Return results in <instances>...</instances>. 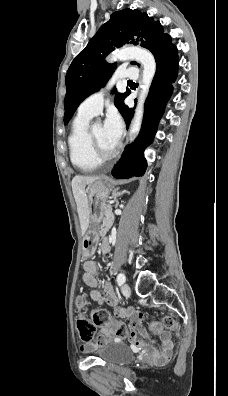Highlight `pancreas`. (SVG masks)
<instances>
[{
  "label": "pancreas",
  "instance_id": "obj_1",
  "mask_svg": "<svg viewBox=\"0 0 228 396\" xmlns=\"http://www.w3.org/2000/svg\"><path fill=\"white\" fill-rule=\"evenodd\" d=\"M108 206H109V208L107 209V212L108 213L113 212V209H111V206L110 205H108ZM113 219H114L113 215H107L106 219L104 220L103 225L100 226L99 232H100V234L102 236V238H101L102 240L104 239L103 238L105 236L104 234H106L108 232V230L110 229V226H111V223H112Z\"/></svg>",
  "mask_w": 228,
  "mask_h": 396
}]
</instances>
